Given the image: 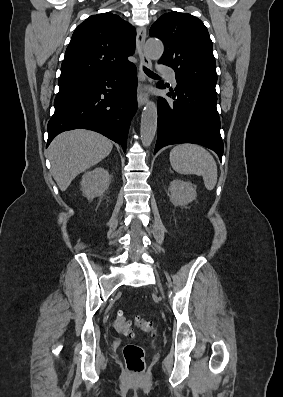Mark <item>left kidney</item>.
<instances>
[{"mask_svg":"<svg viewBox=\"0 0 283 397\" xmlns=\"http://www.w3.org/2000/svg\"><path fill=\"white\" fill-rule=\"evenodd\" d=\"M168 196L175 206H186L196 199V187L183 180L175 179L170 183Z\"/></svg>","mask_w":283,"mask_h":397,"instance_id":"left-kidney-1","label":"left kidney"}]
</instances>
